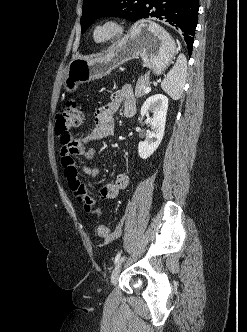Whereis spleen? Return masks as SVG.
I'll return each mask as SVG.
<instances>
[{
	"mask_svg": "<svg viewBox=\"0 0 247 332\" xmlns=\"http://www.w3.org/2000/svg\"><path fill=\"white\" fill-rule=\"evenodd\" d=\"M186 74L187 60L185 55L180 54L175 65L161 83L163 91H165L173 100H178L182 96L183 87L186 82Z\"/></svg>",
	"mask_w": 247,
	"mask_h": 332,
	"instance_id": "spleen-1",
	"label": "spleen"
}]
</instances>
